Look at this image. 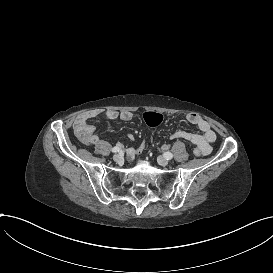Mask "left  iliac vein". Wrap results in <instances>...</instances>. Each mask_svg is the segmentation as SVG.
<instances>
[{
	"instance_id": "4c4485c4",
	"label": "left iliac vein",
	"mask_w": 273,
	"mask_h": 273,
	"mask_svg": "<svg viewBox=\"0 0 273 273\" xmlns=\"http://www.w3.org/2000/svg\"><path fill=\"white\" fill-rule=\"evenodd\" d=\"M158 163L161 166H166L168 164V160L165 157L160 156V157H158Z\"/></svg>"
}]
</instances>
